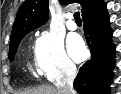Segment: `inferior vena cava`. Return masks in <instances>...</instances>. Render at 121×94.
Masks as SVG:
<instances>
[{
    "label": "inferior vena cava",
    "mask_w": 121,
    "mask_h": 94,
    "mask_svg": "<svg viewBox=\"0 0 121 94\" xmlns=\"http://www.w3.org/2000/svg\"><path fill=\"white\" fill-rule=\"evenodd\" d=\"M64 78L60 84L57 85V89L61 94H75L73 88V81L77 75L76 66L72 62H67L64 67Z\"/></svg>",
    "instance_id": "1"
}]
</instances>
